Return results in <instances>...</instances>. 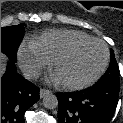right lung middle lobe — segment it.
Here are the masks:
<instances>
[{
	"mask_svg": "<svg viewBox=\"0 0 123 123\" xmlns=\"http://www.w3.org/2000/svg\"><path fill=\"white\" fill-rule=\"evenodd\" d=\"M23 36V24L1 28V52L13 62L16 61V53Z\"/></svg>",
	"mask_w": 123,
	"mask_h": 123,
	"instance_id": "dd1d6c3e",
	"label": "right lung middle lobe"
}]
</instances>
